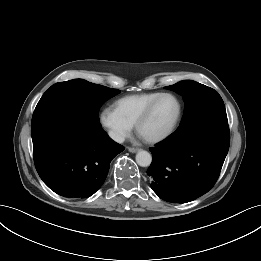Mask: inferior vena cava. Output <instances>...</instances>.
<instances>
[{"mask_svg": "<svg viewBox=\"0 0 261 261\" xmlns=\"http://www.w3.org/2000/svg\"><path fill=\"white\" fill-rule=\"evenodd\" d=\"M109 136H110L111 139H113L117 143H123L124 140H125V137L122 134H119V133L114 132V131H110Z\"/></svg>", "mask_w": 261, "mask_h": 261, "instance_id": "obj_1", "label": "inferior vena cava"}]
</instances>
